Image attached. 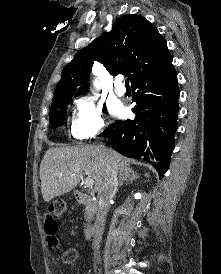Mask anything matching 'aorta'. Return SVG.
I'll use <instances>...</instances> for the list:
<instances>
[{"label": "aorta", "instance_id": "1", "mask_svg": "<svg viewBox=\"0 0 221 274\" xmlns=\"http://www.w3.org/2000/svg\"><path fill=\"white\" fill-rule=\"evenodd\" d=\"M93 84H94V86H95L97 89H99V83H98L97 80H95Z\"/></svg>", "mask_w": 221, "mask_h": 274}]
</instances>
